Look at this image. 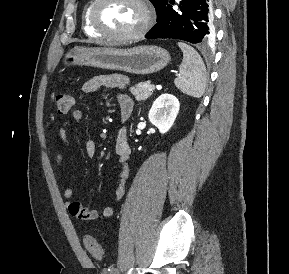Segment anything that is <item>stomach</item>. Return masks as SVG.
<instances>
[{
	"label": "stomach",
	"instance_id": "obj_1",
	"mask_svg": "<svg viewBox=\"0 0 289 274\" xmlns=\"http://www.w3.org/2000/svg\"><path fill=\"white\" fill-rule=\"evenodd\" d=\"M170 60L168 51L157 46L130 49L75 47L66 52L62 64L65 68L84 65L147 75L160 71Z\"/></svg>",
	"mask_w": 289,
	"mask_h": 274
}]
</instances>
